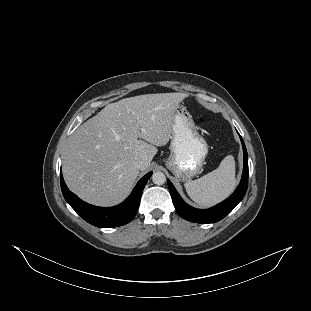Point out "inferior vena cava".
Instances as JSON below:
<instances>
[{
	"label": "inferior vena cava",
	"instance_id": "602c4592",
	"mask_svg": "<svg viewBox=\"0 0 311 311\" xmlns=\"http://www.w3.org/2000/svg\"><path fill=\"white\" fill-rule=\"evenodd\" d=\"M143 165V161L141 159H136L134 162H133V166L137 167V168H140L141 166Z\"/></svg>",
	"mask_w": 311,
	"mask_h": 311
}]
</instances>
